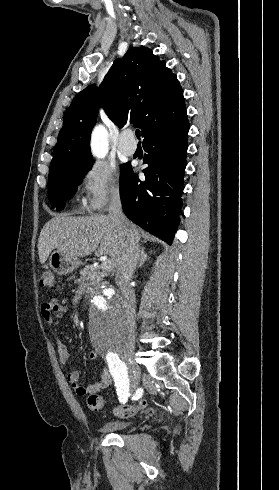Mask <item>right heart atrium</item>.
Wrapping results in <instances>:
<instances>
[{
	"label": "right heart atrium",
	"instance_id": "obj_1",
	"mask_svg": "<svg viewBox=\"0 0 279 490\" xmlns=\"http://www.w3.org/2000/svg\"><path fill=\"white\" fill-rule=\"evenodd\" d=\"M83 205L87 213H101L111 199H118L123 185L115 167L105 162H92L80 176Z\"/></svg>",
	"mask_w": 279,
	"mask_h": 490
}]
</instances>
